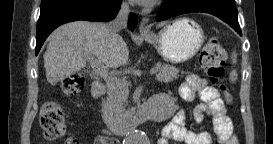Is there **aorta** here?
<instances>
[{
	"label": "aorta",
	"instance_id": "aorta-1",
	"mask_svg": "<svg viewBox=\"0 0 273 144\" xmlns=\"http://www.w3.org/2000/svg\"><path fill=\"white\" fill-rule=\"evenodd\" d=\"M125 144H148V137L144 132L138 130L125 138Z\"/></svg>",
	"mask_w": 273,
	"mask_h": 144
}]
</instances>
